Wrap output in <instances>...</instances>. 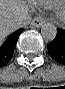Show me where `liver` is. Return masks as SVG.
<instances>
[{
  "label": "liver",
  "mask_w": 65,
  "mask_h": 89,
  "mask_svg": "<svg viewBox=\"0 0 65 89\" xmlns=\"http://www.w3.org/2000/svg\"><path fill=\"white\" fill-rule=\"evenodd\" d=\"M29 4L25 0H0V40L3 41L17 27L15 20L27 14Z\"/></svg>",
  "instance_id": "6515ba94"
}]
</instances>
